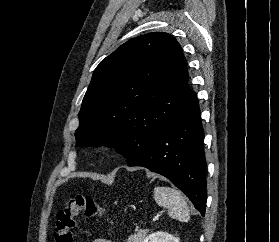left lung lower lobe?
<instances>
[{"mask_svg":"<svg viewBox=\"0 0 279 242\" xmlns=\"http://www.w3.org/2000/svg\"><path fill=\"white\" fill-rule=\"evenodd\" d=\"M198 99L192 90L169 124L146 150L128 162L168 178L204 215L206 210V158Z\"/></svg>","mask_w":279,"mask_h":242,"instance_id":"left-lung-lower-lobe-1","label":"left lung lower lobe"}]
</instances>
